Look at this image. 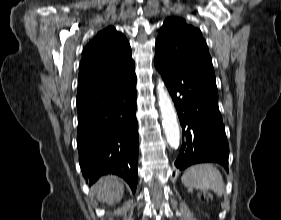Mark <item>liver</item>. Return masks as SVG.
<instances>
[{
  "instance_id": "1",
  "label": "liver",
  "mask_w": 281,
  "mask_h": 220,
  "mask_svg": "<svg viewBox=\"0 0 281 220\" xmlns=\"http://www.w3.org/2000/svg\"><path fill=\"white\" fill-rule=\"evenodd\" d=\"M92 192L100 202L113 205L119 202L124 194V186L115 176L101 178L93 187Z\"/></svg>"
}]
</instances>
